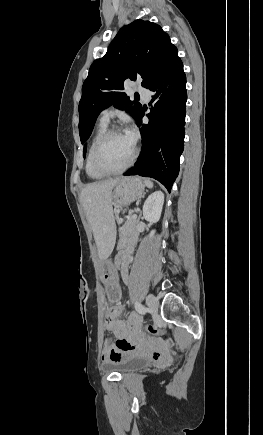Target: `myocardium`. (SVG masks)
<instances>
[{"label":"myocardium","instance_id":"f54148a6","mask_svg":"<svg viewBox=\"0 0 263 435\" xmlns=\"http://www.w3.org/2000/svg\"><path fill=\"white\" fill-rule=\"evenodd\" d=\"M120 134H123V131H122L121 129H119V128L113 127V128L107 129V130H106V131L101 135V137L97 140V142H96V144H95V146H94V148H93V151H92V158H91V161H92L93 168H94L97 172H99L100 174H103V175H116V174L123 173V172L126 171V170H127V169L132 165V164H133V162L135 161L136 156H137V153H138V150H137V148L134 146L133 152H132V154H131L129 160H128V161L126 162V164L123 165L122 167H120V168H118V169H108V168H105V167L100 163V161H99V154H100V151H101L103 145H104V144L107 142V140H108L109 138H111L112 136H114V135H120Z\"/></svg>","mask_w":263,"mask_h":435}]
</instances>
